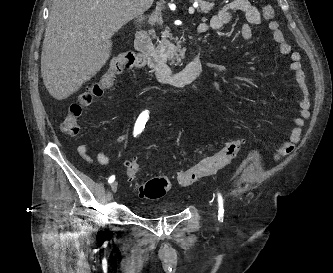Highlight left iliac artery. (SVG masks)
Listing matches in <instances>:
<instances>
[{"label":"left iliac artery","mask_w":333,"mask_h":273,"mask_svg":"<svg viewBox=\"0 0 333 273\" xmlns=\"http://www.w3.org/2000/svg\"><path fill=\"white\" fill-rule=\"evenodd\" d=\"M218 204H219L218 220L223 221V216H224L223 198L220 193H218Z\"/></svg>","instance_id":"44dca946"}]
</instances>
